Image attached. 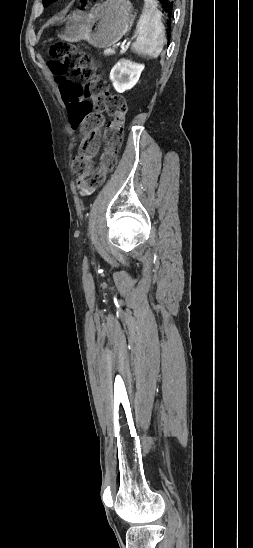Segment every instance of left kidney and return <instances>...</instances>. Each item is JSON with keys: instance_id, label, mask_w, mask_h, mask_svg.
Masks as SVG:
<instances>
[{"instance_id": "5707ae66", "label": "left kidney", "mask_w": 253, "mask_h": 548, "mask_svg": "<svg viewBox=\"0 0 253 548\" xmlns=\"http://www.w3.org/2000/svg\"><path fill=\"white\" fill-rule=\"evenodd\" d=\"M143 64L134 63L130 60L121 59L111 70L110 79L118 93L131 89L138 82Z\"/></svg>"}]
</instances>
